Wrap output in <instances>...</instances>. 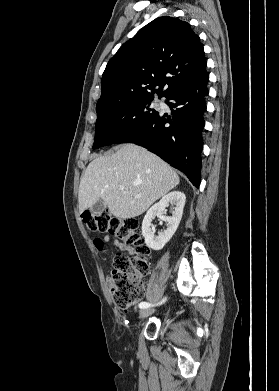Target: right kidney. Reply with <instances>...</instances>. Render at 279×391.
Returning <instances> with one entry per match:
<instances>
[{"label":"right kidney","instance_id":"right-kidney-1","mask_svg":"<svg viewBox=\"0 0 279 391\" xmlns=\"http://www.w3.org/2000/svg\"><path fill=\"white\" fill-rule=\"evenodd\" d=\"M186 197L183 192L172 191L161 198L147 211L142 222V235L146 245L153 250H161L165 244L172 238L177 230L182 218ZM175 205L172 216H166V207L168 204ZM167 222V228L155 236V230L152 228V220L155 217Z\"/></svg>","mask_w":279,"mask_h":391}]
</instances>
